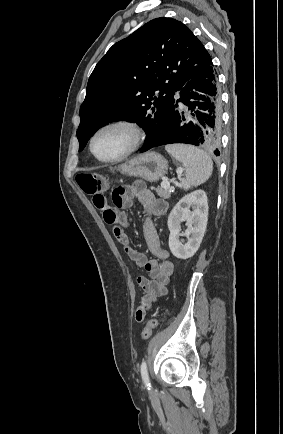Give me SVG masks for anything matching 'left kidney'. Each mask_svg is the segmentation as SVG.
I'll list each match as a JSON object with an SVG mask.
<instances>
[{
  "instance_id": "left-kidney-1",
  "label": "left kidney",
  "mask_w": 283,
  "mask_h": 434,
  "mask_svg": "<svg viewBox=\"0 0 283 434\" xmlns=\"http://www.w3.org/2000/svg\"><path fill=\"white\" fill-rule=\"evenodd\" d=\"M182 221H187L186 242L180 239ZM207 221L208 200L203 190L185 195L174 206L168 217V228L169 248L175 257L188 259L196 253L204 237Z\"/></svg>"
}]
</instances>
